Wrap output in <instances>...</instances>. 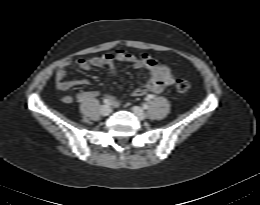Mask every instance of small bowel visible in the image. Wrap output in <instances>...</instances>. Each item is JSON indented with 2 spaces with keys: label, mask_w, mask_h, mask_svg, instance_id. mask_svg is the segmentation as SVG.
<instances>
[{
  "label": "small bowel",
  "mask_w": 260,
  "mask_h": 205,
  "mask_svg": "<svg viewBox=\"0 0 260 205\" xmlns=\"http://www.w3.org/2000/svg\"><path fill=\"white\" fill-rule=\"evenodd\" d=\"M118 63H128L135 69H144L149 72V80L134 89V96L140 97L148 92L158 94L162 93L174 82V76L171 69L167 65L160 64L154 56L147 53L137 56L135 54L128 53L123 49H118L114 52L106 53L100 56L64 61L55 73V86L60 91H67L77 83H84L83 80H66L67 68L73 64L81 70H90L94 67L108 66L110 67L112 73H115ZM101 94L105 95L113 106L118 107L120 105L119 100L115 96L101 93L99 91L82 92L77 95V98L79 100H85ZM61 100L64 103H71L73 101V97L69 94H64L62 95Z\"/></svg>",
  "instance_id": "obj_1"
}]
</instances>
